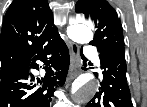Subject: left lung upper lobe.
<instances>
[{
	"mask_svg": "<svg viewBox=\"0 0 147 107\" xmlns=\"http://www.w3.org/2000/svg\"><path fill=\"white\" fill-rule=\"evenodd\" d=\"M76 13H83L97 28L91 45L99 52L124 47L123 31L115 9L106 0H78Z\"/></svg>",
	"mask_w": 147,
	"mask_h": 107,
	"instance_id": "1",
	"label": "left lung upper lobe"
}]
</instances>
